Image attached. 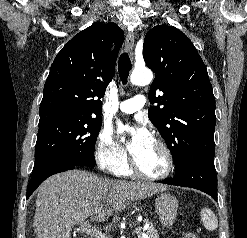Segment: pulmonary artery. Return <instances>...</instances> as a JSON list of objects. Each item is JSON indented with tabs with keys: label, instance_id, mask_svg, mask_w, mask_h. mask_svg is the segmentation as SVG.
<instances>
[{
	"label": "pulmonary artery",
	"instance_id": "1",
	"mask_svg": "<svg viewBox=\"0 0 247 238\" xmlns=\"http://www.w3.org/2000/svg\"><path fill=\"white\" fill-rule=\"evenodd\" d=\"M146 98L143 95H136L133 98L122 101L117 109L126 114H132L144 107Z\"/></svg>",
	"mask_w": 247,
	"mask_h": 238
}]
</instances>
